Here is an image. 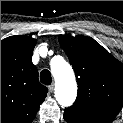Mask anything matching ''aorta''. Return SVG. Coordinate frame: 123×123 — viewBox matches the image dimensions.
<instances>
[{
  "instance_id": "obj_1",
  "label": "aorta",
  "mask_w": 123,
  "mask_h": 123,
  "mask_svg": "<svg viewBox=\"0 0 123 123\" xmlns=\"http://www.w3.org/2000/svg\"><path fill=\"white\" fill-rule=\"evenodd\" d=\"M51 70L56 82V100L63 107L71 106L77 96V84L72 67L63 58L55 57L51 61Z\"/></svg>"
}]
</instances>
